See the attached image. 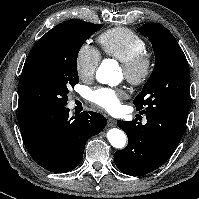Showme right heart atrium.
Wrapping results in <instances>:
<instances>
[{
    "label": "right heart atrium",
    "instance_id": "obj_1",
    "mask_svg": "<svg viewBox=\"0 0 199 199\" xmlns=\"http://www.w3.org/2000/svg\"><path fill=\"white\" fill-rule=\"evenodd\" d=\"M99 51L88 43L80 46L75 60L78 76L83 79H90L94 76L100 63Z\"/></svg>",
    "mask_w": 199,
    "mask_h": 199
}]
</instances>
